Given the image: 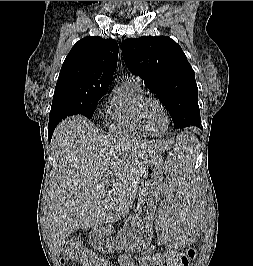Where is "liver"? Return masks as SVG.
Masks as SVG:
<instances>
[{"label":"liver","mask_w":253,"mask_h":266,"mask_svg":"<svg viewBox=\"0 0 253 266\" xmlns=\"http://www.w3.org/2000/svg\"><path fill=\"white\" fill-rule=\"evenodd\" d=\"M51 143L58 169L49 223L57 255L75 230H98L125 218L148 163L170 146L166 141L103 136L83 116L59 123Z\"/></svg>","instance_id":"1"}]
</instances>
